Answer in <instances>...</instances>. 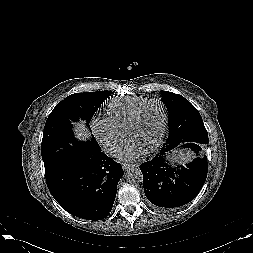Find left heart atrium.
<instances>
[{
	"mask_svg": "<svg viewBox=\"0 0 253 253\" xmlns=\"http://www.w3.org/2000/svg\"><path fill=\"white\" fill-rule=\"evenodd\" d=\"M145 149L133 140H128L118 153L121 160L131 161L144 153Z\"/></svg>",
	"mask_w": 253,
	"mask_h": 253,
	"instance_id": "1",
	"label": "left heart atrium"
}]
</instances>
